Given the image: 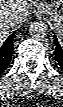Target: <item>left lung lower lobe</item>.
<instances>
[{"label":"left lung lower lobe","instance_id":"left-lung-lower-lobe-1","mask_svg":"<svg viewBox=\"0 0 63 107\" xmlns=\"http://www.w3.org/2000/svg\"><path fill=\"white\" fill-rule=\"evenodd\" d=\"M55 44H56L54 51L55 59L58 61L60 67L63 69V47L60 46L56 36H55Z\"/></svg>","mask_w":63,"mask_h":107}]
</instances>
